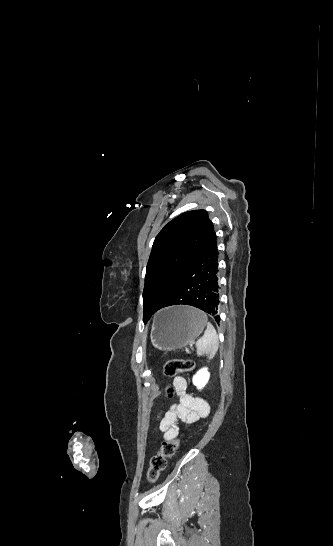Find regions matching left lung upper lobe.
<instances>
[{
    "label": "left lung upper lobe",
    "mask_w": 333,
    "mask_h": 546,
    "mask_svg": "<svg viewBox=\"0 0 333 546\" xmlns=\"http://www.w3.org/2000/svg\"><path fill=\"white\" fill-rule=\"evenodd\" d=\"M211 227L207 211H188L166 224L156 236L146 267L144 322L167 302L175 282L195 259ZM203 267L201 262L196 272Z\"/></svg>",
    "instance_id": "left-lung-upper-lobe-1"
}]
</instances>
